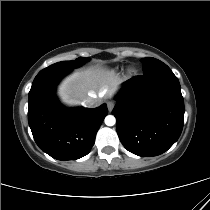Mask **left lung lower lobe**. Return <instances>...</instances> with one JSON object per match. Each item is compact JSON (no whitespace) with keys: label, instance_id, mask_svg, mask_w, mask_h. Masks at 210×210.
Returning <instances> with one entry per match:
<instances>
[{"label":"left lung lower lobe","instance_id":"left-lung-lower-lobe-1","mask_svg":"<svg viewBox=\"0 0 210 210\" xmlns=\"http://www.w3.org/2000/svg\"><path fill=\"white\" fill-rule=\"evenodd\" d=\"M112 113L124 147L150 157L167 151L179 138L184 101L177 77L163 64L124 83Z\"/></svg>","mask_w":210,"mask_h":210}]
</instances>
